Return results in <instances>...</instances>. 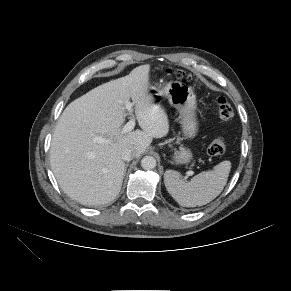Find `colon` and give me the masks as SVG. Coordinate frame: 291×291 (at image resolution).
<instances>
[{"instance_id": "5ec220e1", "label": "colon", "mask_w": 291, "mask_h": 291, "mask_svg": "<svg viewBox=\"0 0 291 291\" xmlns=\"http://www.w3.org/2000/svg\"><path fill=\"white\" fill-rule=\"evenodd\" d=\"M174 75L177 78H189L185 73L176 71ZM217 107L220 118L223 121H229L233 117V108L228 100L223 96L217 97ZM226 151V143L222 137L215 138L208 147V154L211 156L222 155Z\"/></svg>"}]
</instances>
